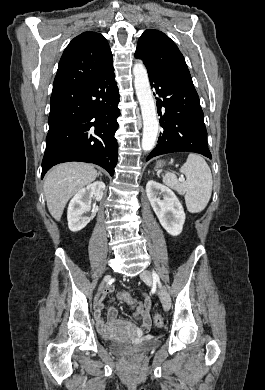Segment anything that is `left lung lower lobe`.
Masks as SVG:
<instances>
[{
    "label": "left lung lower lobe",
    "instance_id": "left-lung-lower-lobe-1",
    "mask_svg": "<svg viewBox=\"0 0 265 390\" xmlns=\"http://www.w3.org/2000/svg\"><path fill=\"white\" fill-rule=\"evenodd\" d=\"M156 90L157 111L162 132L149 159L167 153L195 152L212 159L207 144V131L198 94L190 75H168L148 72ZM164 108L163 110H161Z\"/></svg>",
    "mask_w": 265,
    "mask_h": 390
}]
</instances>
